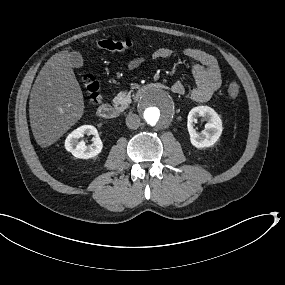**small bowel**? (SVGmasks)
Here are the masks:
<instances>
[{
	"label": "small bowel",
	"instance_id": "obj_1",
	"mask_svg": "<svg viewBox=\"0 0 285 285\" xmlns=\"http://www.w3.org/2000/svg\"><path fill=\"white\" fill-rule=\"evenodd\" d=\"M180 54L189 64L194 87L187 89L181 81H176L171 86V91L177 95L186 96L195 102H204L210 99L221 87L222 76L217 60L211 54L196 48H185L176 52L170 48H158L152 58L155 60L168 59ZM144 62L142 56H135L127 61V68L134 70Z\"/></svg>",
	"mask_w": 285,
	"mask_h": 285
}]
</instances>
